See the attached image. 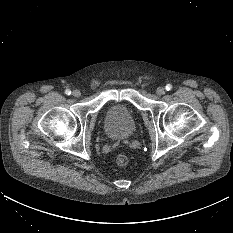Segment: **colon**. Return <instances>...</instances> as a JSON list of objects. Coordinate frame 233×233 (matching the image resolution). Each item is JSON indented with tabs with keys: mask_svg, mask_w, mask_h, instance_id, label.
<instances>
[{
	"mask_svg": "<svg viewBox=\"0 0 233 233\" xmlns=\"http://www.w3.org/2000/svg\"><path fill=\"white\" fill-rule=\"evenodd\" d=\"M116 163L119 166H126L129 163V158L125 154H119L116 158Z\"/></svg>",
	"mask_w": 233,
	"mask_h": 233,
	"instance_id": "1",
	"label": "colon"
}]
</instances>
